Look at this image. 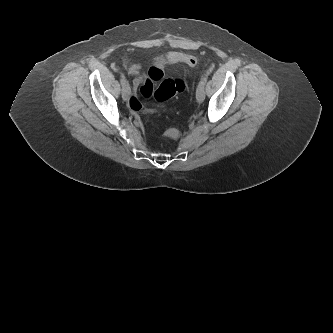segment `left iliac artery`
Wrapping results in <instances>:
<instances>
[{
	"label": "left iliac artery",
	"instance_id": "obj_1",
	"mask_svg": "<svg viewBox=\"0 0 333 333\" xmlns=\"http://www.w3.org/2000/svg\"><path fill=\"white\" fill-rule=\"evenodd\" d=\"M206 82H207V76L203 77L199 84L204 86Z\"/></svg>",
	"mask_w": 333,
	"mask_h": 333
}]
</instances>
